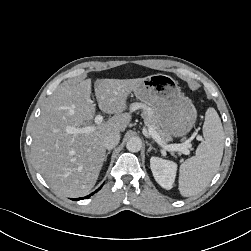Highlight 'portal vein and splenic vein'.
I'll list each match as a JSON object with an SVG mask.
<instances>
[{"label": "portal vein and splenic vein", "instance_id": "18ae733b", "mask_svg": "<svg viewBox=\"0 0 251 251\" xmlns=\"http://www.w3.org/2000/svg\"><path fill=\"white\" fill-rule=\"evenodd\" d=\"M103 121V116L102 115H96L95 117V123L96 124H101V122ZM94 130V127L92 126H87V127H83V128H70L68 130V132L73 133V134H78V133H90ZM149 130V134L151 135V137L155 140V142L164 150L173 152V151H178L181 152L185 155H189L190 151L188 150V148L191 147V144L189 143H182V144H163L161 141V138L159 137L158 133L151 127H148Z\"/></svg>", "mask_w": 251, "mask_h": 251}]
</instances>
